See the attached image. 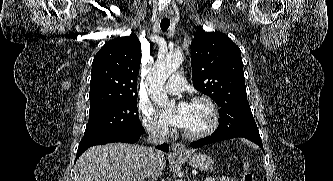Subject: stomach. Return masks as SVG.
Returning a JSON list of instances; mask_svg holds the SVG:
<instances>
[{
	"label": "stomach",
	"mask_w": 333,
	"mask_h": 181,
	"mask_svg": "<svg viewBox=\"0 0 333 181\" xmlns=\"http://www.w3.org/2000/svg\"><path fill=\"white\" fill-rule=\"evenodd\" d=\"M179 157L188 162L190 166L197 170L208 171L213 168V159L206 154L179 155Z\"/></svg>",
	"instance_id": "obj_1"
}]
</instances>
